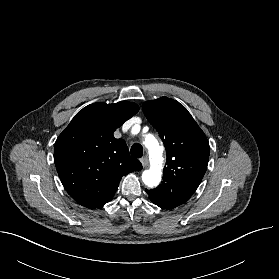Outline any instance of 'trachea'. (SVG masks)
Listing matches in <instances>:
<instances>
[{
  "instance_id": "1",
  "label": "trachea",
  "mask_w": 279,
  "mask_h": 279,
  "mask_svg": "<svg viewBox=\"0 0 279 279\" xmlns=\"http://www.w3.org/2000/svg\"><path fill=\"white\" fill-rule=\"evenodd\" d=\"M130 153L132 156L140 158L143 155V147L140 144H134L130 149Z\"/></svg>"
}]
</instances>
